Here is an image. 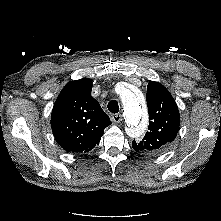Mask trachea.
Masks as SVG:
<instances>
[{
	"label": "trachea",
	"mask_w": 221,
	"mask_h": 221,
	"mask_svg": "<svg viewBox=\"0 0 221 221\" xmlns=\"http://www.w3.org/2000/svg\"><path fill=\"white\" fill-rule=\"evenodd\" d=\"M107 107H108V110L111 113H118L119 112V105H118V102L116 100L110 101L108 103Z\"/></svg>",
	"instance_id": "trachea-1"
}]
</instances>
